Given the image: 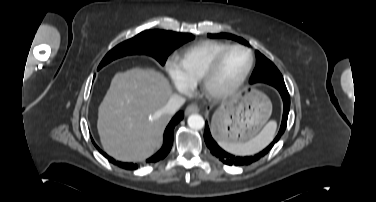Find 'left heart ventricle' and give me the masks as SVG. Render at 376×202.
I'll return each mask as SVG.
<instances>
[{
  "instance_id": "1",
  "label": "left heart ventricle",
  "mask_w": 376,
  "mask_h": 202,
  "mask_svg": "<svg viewBox=\"0 0 376 202\" xmlns=\"http://www.w3.org/2000/svg\"><path fill=\"white\" fill-rule=\"evenodd\" d=\"M249 63L246 51L236 49L231 51L224 59L214 81V87L222 89L234 83L245 71Z\"/></svg>"
}]
</instances>
